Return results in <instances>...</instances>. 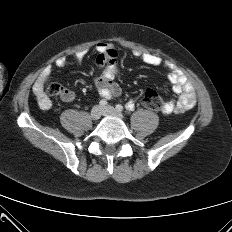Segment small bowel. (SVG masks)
Masks as SVG:
<instances>
[{
  "label": "small bowel",
  "mask_w": 232,
  "mask_h": 232,
  "mask_svg": "<svg viewBox=\"0 0 232 232\" xmlns=\"http://www.w3.org/2000/svg\"><path fill=\"white\" fill-rule=\"evenodd\" d=\"M96 51V70L93 75V83L102 98L111 99L113 97H119L122 90L115 82V78L119 74L118 54L107 42H99L96 45ZM85 55V50L77 52L72 59V63L80 64ZM134 56L138 57L150 67L162 68L166 71L167 78L172 85V90L178 97L164 103L163 113H184L196 104L197 98L191 81L174 63L163 60L159 56L148 52L135 51ZM68 64V60L64 57L58 58L55 61V66L58 68H64ZM49 72V69L45 70L33 85V93L37 104L43 110H49L52 107V101L44 90V83ZM64 89L65 93L61 95L62 101H73L75 97L73 91L67 88ZM128 103L133 102L130 101Z\"/></svg>",
  "instance_id": "1"
}]
</instances>
